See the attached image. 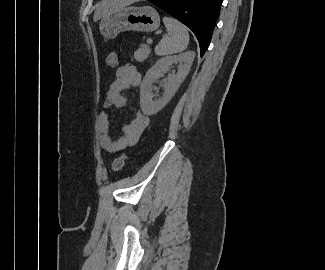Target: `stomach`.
Here are the masks:
<instances>
[{"instance_id":"1","label":"stomach","mask_w":325,"mask_h":270,"mask_svg":"<svg viewBox=\"0 0 325 270\" xmlns=\"http://www.w3.org/2000/svg\"><path fill=\"white\" fill-rule=\"evenodd\" d=\"M159 26L160 17L157 11L144 6L118 9L103 17L99 28L106 39H113L126 30L151 32Z\"/></svg>"}]
</instances>
